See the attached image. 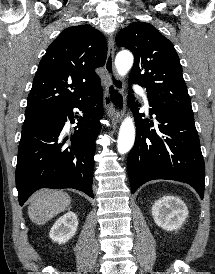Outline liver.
<instances>
[{"mask_svg": "<svg viewBox=\"0 0 215 274\" xmlns=\"http://www.w3.org/2000/svg\"><path fill=\"white\" fill-rule=\"evenodd\" d=\"M70 203V196L63 191L39 190L31 198L28 215L35 224L44 225L53 217L65 211Z\"/></svg>", "mask_w": 215, "mask_h": 274, "instance_id": "1", "label": "liver"}]
</instances>
